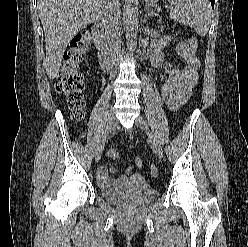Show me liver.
<instances>
[{"mask_svg":"<svg viewBox=\"0 0 248 247\" xmlns=\"http://www.w3.org/2000/svg\"><path fill=\"white\" fill-rule=\"evenodd\" d=\"M108 0H38L45 33L46 73L53 80L59 73L63 53L71 39L98 20Z\"/></svg>","mask_w":248,"mask_h":247,"instance_id":"1","label":"liver"}]
</instances>
